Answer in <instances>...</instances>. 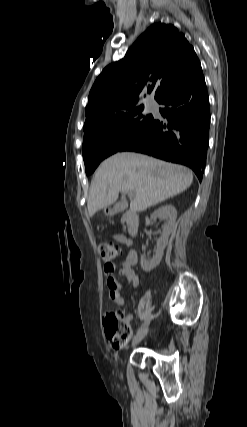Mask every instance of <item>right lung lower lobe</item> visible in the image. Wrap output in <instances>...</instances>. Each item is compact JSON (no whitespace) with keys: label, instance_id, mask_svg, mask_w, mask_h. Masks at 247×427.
<instances>
[{"label":"right lung lower lobe","instance_id":"right-lung-lower-lobe-1","mask_svg":"<svg viewBox=\"0 0 247 427\" xmlns=\"http://www.w3.org/2000/svg\"><path fill=\"white\" fill-rule=\"evenodd\" d=\"M161 115L120 151L144 153L190 167L202 180L209 144V98L202 70L158 101Z\"/></svg>","mask_w":247,"mask_h":427}]
</instances>
